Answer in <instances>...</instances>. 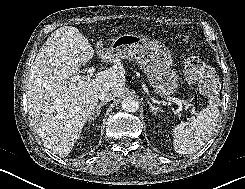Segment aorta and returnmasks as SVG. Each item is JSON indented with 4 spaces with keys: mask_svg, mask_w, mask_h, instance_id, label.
Wrapping results in <instances>:
<instances>
[{
    "mask_svg": "<svg viewBox=\"0 0 245 189\" xmlns=\"http://www.w3.org/2000/svg\"><path fill=\"white\" fill-rule=\"evenodd\" d=\"M121 107L127 112H136L139 108V102L134 97H125L121 102Z\"/></svg>",
    "mask_w": 245,
    "mask_h": 189,
    "instance_id": "1",
    "label": "aorta"
}]
</instances>
